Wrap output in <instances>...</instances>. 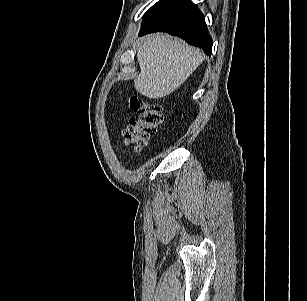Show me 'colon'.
<instances>
[{
    "instance_id": "5ec220e1",
    "label": "colon",
    "mask_w": 307,
    "mask_h": 301,
    "mask_svg": "<svg viewBox=\"0 0 307 301\" xmlns=\"http://www.w3.org/2000/svg\"><path fill=\"white\" fill-rule=\"evenodd\" d=\"M130 107L137 116L130 119L123 132V141L126 145L140 150L154 135L162 120V111L158 104L138 99H132Z\"/></svg>"
}]
</instances>
